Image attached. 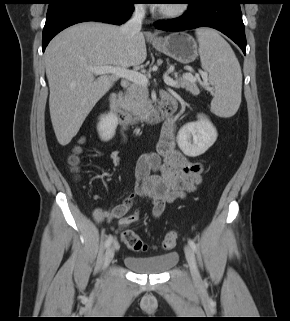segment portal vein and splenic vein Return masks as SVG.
<instances>
[{
	"label": "portal vein and splenic vein",
	"instance_id": "obj_1",
	"mask_svg": "<svg viewBox=\"0 0 290 321\" xmlns=\"http://www.w3.org/2000/svg\"><path fill=\"white\" fill-rule=\"evenodd\" d=\"M89 70L92 71L95 75L111 74L112 76L121 77L133 83L141 84L144 86H147L149 82L147 76H145L144 74L139 73L137 71L129 70V69H123L120 67H115V66L90 67ZM184 78L196 80V78L189 73L185 74ZM202 78L206 83L207 76L205 74H202ZM163 79L167 85L173 86L175 84V81L171 77H169L167 73L164 74Z\"/></svg>",
	"mask_w": 290,
	"mask_h": 321
}]
</instances>
